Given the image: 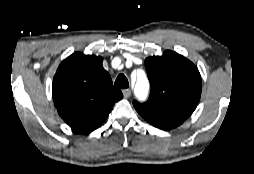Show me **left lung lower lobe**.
<instances>
[{"instance_id": "1", "label": "left lung lower lobe", "mask_w": 254, "mask_h": 174, "mask_svg": "<svg viewBox=\"0 0 254 174\" xmlns=\"http://www.w3.org/2000/svg\"><path fill=\"white\" fill-rule=\"evenodd\" d=\"M141 116L153 126L163 130H170V129L176 128L177 126L183 123V122H177V121H173L169 119L158 118L151 115H141Z\"/></svg>"}]
</instances>
